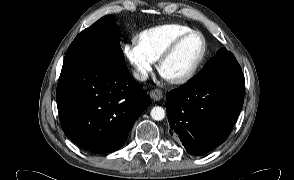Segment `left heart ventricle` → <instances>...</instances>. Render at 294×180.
I'll return each mask as SVG.
<instances>
[{
  "label": "left heart ventricle",
  "instance_id": "b2bd125f",
  "mask_svg": "<svg viewBox=\"0 0 294 180\" xmlns=\"http://www.w3.org/2000/svg\"><path fill=\"white\" fill-rule=\"evenodd\" d=\"M202 52V40L198 35L187 38L162 66V73L168 79L185 75Z\"/></svg>",
  "mask_w": 294,
  "mask_h": 180
}]
</instances>
